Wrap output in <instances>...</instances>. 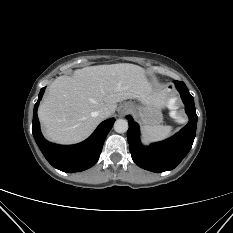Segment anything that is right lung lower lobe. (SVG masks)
<instances>
[{"mask_svg": "<svg viewBox=\"0 0 233 233\" xmlns=\"http://www.w3.org/2000/svg\"><path fill=\"white\" fill-rule=\"evenodd\" d=\"M45 88L40 90L38 101L34 106L32 132L35 141L47 161L63 172H80L92 167L99 159L104 140L112 128L115 119L102 122L94 133L84 142L62 146L50 143L44 139L40 132L37 108Z\"/></svg>", "mask_w": 233, "mask_h": 233, "instance_id": "obj_1", "label": "right lung lower lobe"}]
</instances>
